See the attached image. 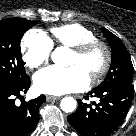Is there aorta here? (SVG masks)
Masks as SVG:
<instances>
[{"mask_svg":"<svg viewBox=\"0 0 136 136\" xmlns=\"http://www.w3.org/2000/svg\"><path fill=\"white\" fill-rule=\"evenodd\" d=\"M51 59L57 66H66L65 49L61 47L56 48L51 54ZM76 105L77 102L72 97H65L60 103L61 109L66 113L73 112L76 109Z\"/></svg>","mask_w":136,"mask_h":136,"instance_id":"1","label":"aorta"}]
</instances>
